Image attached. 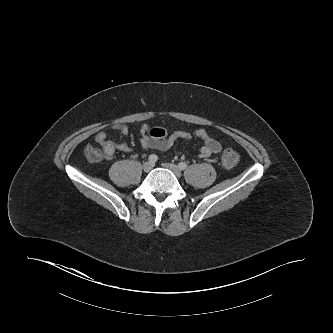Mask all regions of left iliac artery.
I'll return each instance as SVG.
<instances>
[{
    "instance_id": "obj_1",
    "label": "left iliac artery",
    "mask_w": 333,
    "mask_h": 333,
    "mask_svg": "<svg viewBox=\"0 0 333 333\" xmlns=\"http://www.w3.org/2000/svg\"><path fill=\"white\" fill-rule=\"evenodd\" d=\"M178 167L181 169V170H185L187 168V164L185 162H180L178 164Z\"/></svg>"
}]
</instances>
